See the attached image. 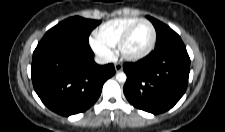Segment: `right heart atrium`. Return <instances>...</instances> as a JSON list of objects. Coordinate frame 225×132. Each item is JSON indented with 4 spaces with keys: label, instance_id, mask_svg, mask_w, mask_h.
Here are the masks:
<instances>
[{
    "label": "right heart atrium",
    "instance_id": "d8ad5b80",
    "mask_svg": "<svg viewBox=\"0 0 225 132\" xmlns=\"http://www.w3.org/2000/svg\"><path fill=\"white\" fill-rule=\"evenodd\" d=\"M91 46L94 51L102 58L109 59L113 55L111 48L101 43L96 38L91 40Z\"/></svg>",
    "mask_w": 225,
    "mask_h": 132
}]
</instances>
